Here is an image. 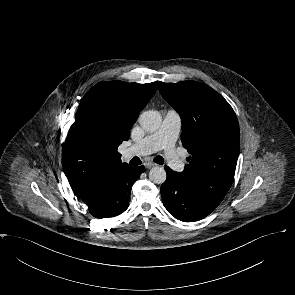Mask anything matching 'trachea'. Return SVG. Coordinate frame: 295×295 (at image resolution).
Wrapping results in <instances>:
<instances>
[{"mask_svg":"<svg viewBox=\"0 0 295 295\" xmlns=\"http://www.w3.org/2000/svg\"><path fill=\"white\" fill-rule=\"evenodd\" d=\"M153 161L157 164H163L164 163V159L162 156H156ZM141 164V160L138 157H134L131 161H130V165L132 166H137Z\"/></svg>","mask_w":295,"mask_h":295,"instance_id":"1","label":"trachea"}]
</instances>
